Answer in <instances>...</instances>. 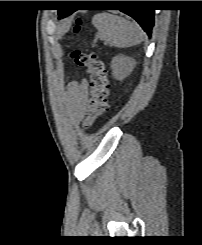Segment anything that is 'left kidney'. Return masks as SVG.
Returning a JSON list of instances; mask_svg holds the SVG:
<instances>
[{
	"instance_id": "5707ae66",
	"label": "left kidney",
	"mask_w": 202,
	"mask_h": 245,
	"mask_svg": "<svg viewBox=\"0 0 202 245\" xmlns=\"http://www.w3.org/2000/svg\"><path fill=\"white\" fill-rule=\"evenodd\" d=\"M135 66V60L125 55H118L111 61L112 75L117 80H123L130 75Z\"/></svg>"
}]
</instances>
